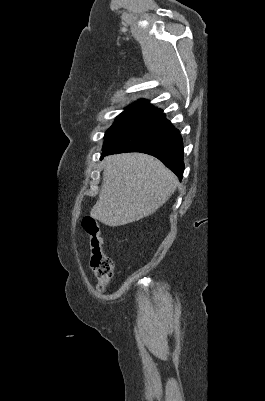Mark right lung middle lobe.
<instances>
[{
    "label": "right lung middle lobe",
    "mask_w": 265,
    "mask_h": 401,
    "mask_svg": "<svg viewBox=\"0 0 265 401\" xmlns=\"http://www.w3.org/2000/svg\"><path fill=\"white\" fill-rule=\"evenodd\" d=\"M161 111V109L147 104H132L116 118L114 124L106 131L104 136L105 143L110 142L123 131Z\"/></svg>",
    "instance_id": "1"
}]
</instances>
